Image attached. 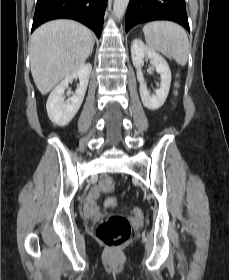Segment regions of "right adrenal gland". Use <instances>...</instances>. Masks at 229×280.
I'll return each mask as SVG.
<instances>
[{
	"label": "right adrenal gland",
	"instance_id": "1",
	"mask_svg": "<svg viewBox=\"0 0 229 280\" xmlns=\"http://www.w3.org/2000/svg\"><path fill=\"white\" fill-rule=\"evenodd\" d=\"M92 51H93V48L91 49V51H90V53H89V56H91V55H92Z\"/></svg>",
	"mask_w": 229,
	"mask_h": 280
}]
</instances>
